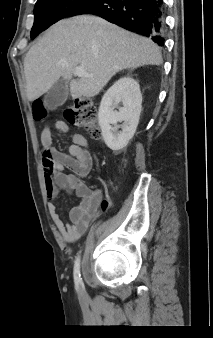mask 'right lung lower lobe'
I'll return each instance as SVG.
<instances>
[{
    "mask_svg": "<svg viewBox=\"0 0 213 338\" xmlns=\"http://www.w3.org/2000/svg\"><path fill=\"white\" fill-rule=\"evenodd\" d=\"M94 14L164 45L163 0H92L72 15Z\"/></svg>",
    "mask_w": 213,
    "mask_h": 338,
    "instance_id": "right-lung-lower-lobe-1",
    "label": "right lung lower lobe"
}]
</instances>
